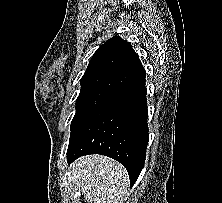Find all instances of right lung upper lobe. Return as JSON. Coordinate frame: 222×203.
Here are the masks:
<instances>
[{
    "instance_id": "cb5924a9",
    "label": "right lung upper lobe",
    "mask_w": 222,
    "mask_h": 203,
    "mask_svg": "<svg viewBox=\"0 0 222 203\" xmlns=\"http://www.w3.org/2000/svg\"><path fill=\"white\" fill-rule=\"evenodd\" d=\"M144 71L131 44L114 36L94 53L81 78V90L115 93Z\"/></svg>"
}]
</instances>
